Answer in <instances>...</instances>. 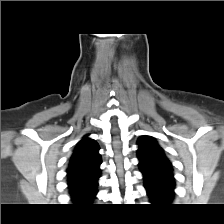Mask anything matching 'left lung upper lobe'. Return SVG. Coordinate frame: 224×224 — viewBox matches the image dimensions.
<instances>
[{"label":"left lung upper lobe","instance_id":"left-lung-upper-lobe-1","mask_svg":"<svg viewBox=\"0 0 224 224\" xmlns=\"http://www.w3.org/2000/svg\"><path fill=\"white\" fill-rule=\"evenodd\" d=\"M138 145L139 167L142 172L172 174L171 163L153 137L141 136Z\"/></svg>","mask_w":224,"mask_h":224}]
</instances>
